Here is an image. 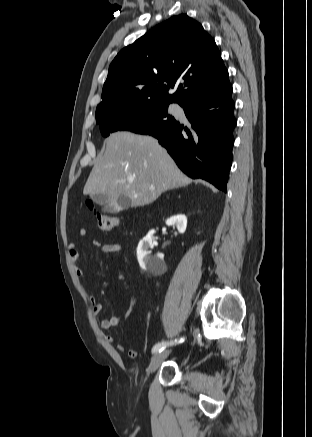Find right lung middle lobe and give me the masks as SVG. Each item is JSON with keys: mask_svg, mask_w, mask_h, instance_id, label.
<instances>
[{"mask_svg": "<svg viewBox=\"0 0 312 437\" xmlns=\"http://www.w3.org/2000/svg\"><path fill=\"white\" fill-rule=\"evenodd\" d=\"M169 103L150 102L119 108L96 120L103 136L115 131L151 134L162 131L176 122L167 113Z\"/></svg>", "mask_w": 312, "mask_h": 437, "instance_id": "dd1d6c3e", "label": "right lung middle lobe"}]
</instances>
